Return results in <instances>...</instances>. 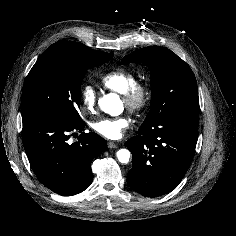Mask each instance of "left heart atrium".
<instances>
[{
    "instance_id": "1",
    "label": "left heart atrium",
    "mask_w": 236,
    "mask_h": 236,
    "mask_svg": "<svg viewBox=\"0 0 236 236\" xmlns=\"http://www.w3.org/2000/svg\"><path fill=\"white\" fill-rule=\"evenodd\" d=\"M128 126L129 119L125 116L102 118L92 123L95 132L112 140L121 138Z\"/></svg>"
}]
</instances>
